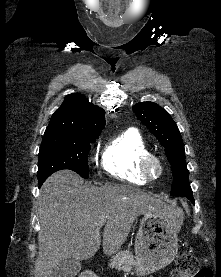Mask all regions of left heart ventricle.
<instances>
[{
  "label": "left heart ventricle",
  "mask_w": 221,
  "mask_h": 277,
  "mask_svg": "<svg viewBox=\"0 0 221 277\" xmlns=\"http://www.w3.org/2000/svg\"><path fill=\"white\" fill-rule=\"evenodd\" d=\"M151 172H152L153 175H157V173H158V168H157L156 165H152V166H151Z\"/></svg>",
  "instance_id": "obj_1"
}]
</instances>
